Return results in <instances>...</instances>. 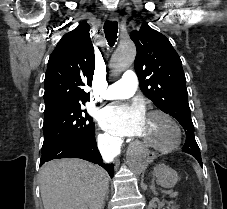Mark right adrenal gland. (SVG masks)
Returning a JSON list of instances; mask_svg holds the SVG:
<instances>
[{
	"mask_svg": "<svg viewBox=\"0 0 227 209\" xmlns=\"http://www.w3.org/2000/svg\"><path fill=\"white\" fill-rule=\"evenodd\" d=\"M105 201H108V195H106L103 205H105ZM102 209H104V207H102Z\"/></svg>",
	"mask_w": 227,
	"mask_h": 209,
	"instance_id": "2a0ac1e0",
	"label": "right adrenal gland"
}]
</instances>
